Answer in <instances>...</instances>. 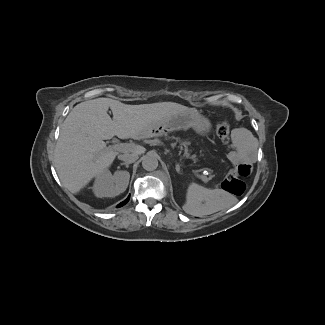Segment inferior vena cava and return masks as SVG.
<instances>
[{
	"label": "inferior vena cava",
	"mask_w": 325,
	"mask_h": 325,
	"mask_svg": "<svg viewBox=\"0 0 325 325\" xmlns=\"http://www.w3.org/2000/svg\"><path fill=\"white\" fill-rule=\"evenodd\" d=\"M119 160L125 161L126 163H134L137 159H138V155L136 153H132V154H120L118 156Z\"/></svg>",
	"instance_id": "602c4592"
}]
</instances>
